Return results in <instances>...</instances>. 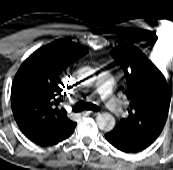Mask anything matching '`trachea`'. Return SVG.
I'll return each mask as SVG.
<instances>
[{
  "instance_id": "3493384b",
  "label": "trachea",
  "mask_w": 173,
  "mask_h": 170,
  "mask_svg": "<svg viewBox=\"0 0 173 170\" xmlns=\"http://www.w3.org/2000/svg\"><path fill=\"white\" fill-rule=\"evenodd\" d=\"M92 110V111H99L100 108L92 103H84V101H79L73 108L74 112H81L83 109Z\"/></svg>"
}]
</instances>
